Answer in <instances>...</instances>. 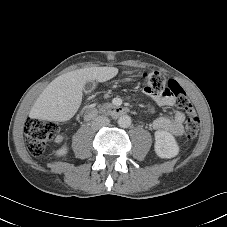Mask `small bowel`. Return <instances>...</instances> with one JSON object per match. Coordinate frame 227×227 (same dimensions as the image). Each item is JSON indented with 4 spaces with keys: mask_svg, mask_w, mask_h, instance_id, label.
<instances>
[{
    "mask_svg": "<svg viewBox=\"0 0 227 227\" xmlns=\"http://www.w3.org/2000/svg\"><path fill=\"white\" fill-rule=\"evenodd\" d=\"M141 93L149 99H153L161 107H173L175 105L174 97L169 89H164L161 92V96H157V91L154 88H151L149 85H144L141 88ZM184 120V113L180 110H175L172 117L160 116L156 118L152 123V127L155 130H163L174 136H180L183 133ZM61 139L62 137L59 136L57 141Z\"/></svg>",
    "mask_w": 227,
    "mask_h": 227,
    "instance_id": "1",
    "label": "small bowel"
}]
</instances>
